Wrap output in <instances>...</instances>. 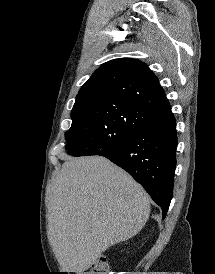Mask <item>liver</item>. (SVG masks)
<instances>
[{"label":"liver","instance_id":"6515ba94","mask_svg":"<svg viewBox=\"0 0 215 274\" xmlns=\"http://www.w3.org/2000/svg\"><path fill=\"white\" fill-rule=\"evenodd\" d=\"M149 213L143 187L111 161L67 158L52 183L48 217L61 269L83 274L109 247L135 236Z\"/></svg>","mask_w":215,"mask_h":274}]
</instances>
